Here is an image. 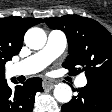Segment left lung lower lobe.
I'll return each mask as SVG.
<instances>
[{"instance_id":"0a47b994","label":"left lung lower lobe","mask_w":112,"mask_h":112,"mask_svg":"<svg viewBox=\"0 0 112 112\" xmlns=\"http://www.w3.org/2000/svg\"><path fill=\"white\" fill-rule=\"evenodd\" d=\"M78 95L62 106V112H110L112 109V83L88 81L78 88Z\"/></svg>"}]
</instances>
